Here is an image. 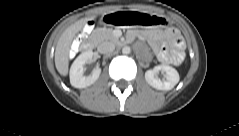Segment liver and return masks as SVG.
Masks as SVG:
<instances>
[{"mask_svg": "<svg viewBox=\"0 0 239 136\" xmlns=\"http://www.w3.org/2000/svg\"><path fill=\"white\" fill-rule=\"evenodd\" d=\"M95 17L82 18L69 26L60 36L55 49V66L57 71L62 75L68 74L69 68V51L71 43L76 33L90 20Z\"/></svg>", "mask_w": 239, "mask_h": 136, "instance_id": "obj_1", "label": "liver"}]
</instances>
